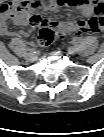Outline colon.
<instances>
[{"label": "colon", "mask_w": 104, "mask_h": 137, "mask_svg": "<svg viewBox=\"0 0 104 137\" xmlns=\"http://www.w3.org/2000/svg\"><path fill=\"white\" fill-rule=\"evenodd\" d=\"M33 20L34 19H32V21ZM96 21L97 19L94 18L93 22ZM58 33H59L58 30L53 28L52 26H47V25L42 26L39 33V43L42 45H47L54 42L55 40H57L59 36Z\"/></svg>", "instance_id": "5ec220e1"}]
</instances>
